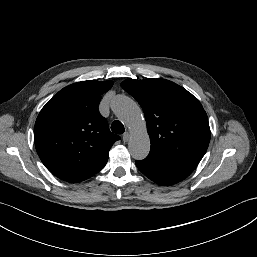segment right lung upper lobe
I'll list each match as a JSON object with an SVG mask.
<instances>
[{
  "mask_svg": "<svg viewBox=\"0 0 257 257\" xmlns=\"http://www.w3.org/2000/svg\"><path fill=\"white\" fill-rule=\"evenodd\" d=\"M112 81H82L60 90L40 111L34 128L37 153L47 169L71 183L88 179L107 163L120 139L98 105Z\"/></svg>",
  "mask_w": 257,
  "mask_h": 257,
  "instance_id": "cb5924a9",
  "label": "right lung upper lobe"
}]
</instances>
